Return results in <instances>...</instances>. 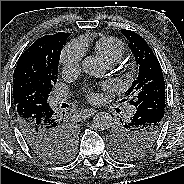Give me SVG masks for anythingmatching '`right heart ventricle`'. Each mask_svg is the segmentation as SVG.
Returning <instances> with one entry per match:
<instances>
[{"instance_id": "e07e8e85", "label": "right heart ventricle", "mask_w": 184, "mask_h": 184, "mask_svg": "<svg viewBox=\"0 0 184 184\" xmlns=\"http://www.w3.org/2000/svg\"><path fill=\"white\" fill-rule=\"evenodd\" d=\"M80 41L85 46L86 40ZM94 50L107 64L113 65L123 57L126 52V47L121 40L115 37L101 36L95 41Z\"/></svg>"}]
</instances>
